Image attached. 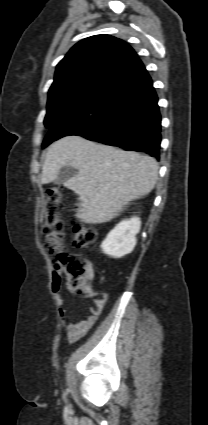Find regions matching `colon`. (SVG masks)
Wrapping results in <instances>:
<instances>
[{
	"mask_svg": "<svg viewBox=\"0 0 208 425\" xmlns=\"http://www.w3.org/2000/svg\"><path fill=\"white\" fill-rule=\"evenodd\" d=\"M61 188L52 187L46 192V210L42 218L44 247L53 256V270L58 276L64 275L68 288L77 294L85 293L88 279L89 263L81 256L67 252L64 248V225L58 208ZM97 239L94 227L85 224H75L72 231L73 244L77 248H86Z\"/></svg>",
	"mask_w": 208,
	"mask_h": 425,
	"instance_id": "1",
	"label": "colon"
}]
</instances>
